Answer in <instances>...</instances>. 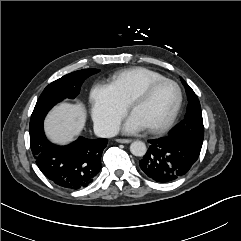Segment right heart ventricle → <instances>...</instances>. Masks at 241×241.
I'll list each match as a JSON object with an SVG mask.
<instances>
[{
  "label": "right heart ventricle",
  "mask_w": 241,
  "mask_h": 241,
  "mask_svg": "<svg viewBox=\"0 0 241 241\" xmlns=\"http://www.w3.org/2000/svg\"><path fill=\"white\" fill-rule=\"evenodd\" d=\"M163 78V75L153 70L135 67L115 74L111 86L118 97L128 105L146 85Z\"/></svg>",
  "instance_id": "e07e8e85"
}]
</instances>
